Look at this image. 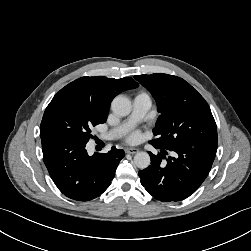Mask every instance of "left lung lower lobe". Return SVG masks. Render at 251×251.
I'll use <instances>...</instances> for the list:
<instances>
[{"mask_svg":"<svg viewBox=\"0 0 251 251\" xmlns=\"http://www.w3.org/2000/svg\"><path fill=\"white\" fill-rule=\"evenodd\" d=\"M170 151L177 155L169 156L166 162L162 161L165 155L149 153L151 165L139 171L141 184L151 196L162 202L184 200L200 187L211 170L217 144L179 145Z\"/></svg>","mask_w":251,"mask_h":251,"instance_id":"left-lung-lower-lobe-1","label":"left lung lower lobe"}]
</instances>
